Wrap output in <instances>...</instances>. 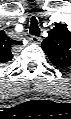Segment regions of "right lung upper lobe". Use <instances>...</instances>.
I'll return each instance as SVG.
<instances>
[{
  "instance_id": "1",
  "label": "right lung upper lobe",
  "mask_w": 71,
  "mask_h": 119,
  "mask_svg": "<svg viewBox=\"0 0 71 119\" xmlns=\"http://www.w3.org/2000/svg\"><path fill=\"white\" fill-rule=\"evenodd\" d=\"M22 44L10 39L4 31L0 32V62L5 63L13 58L11 47L13 45Z\"/></svg>"
}]
</instances>
